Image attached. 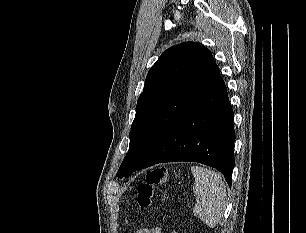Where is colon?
<instances>
[{
    "label": "colon",
    "instance_id": "colon-1",
    "mask_svg": "<svg viewBox=\"0 0 306 233\" xmlns=\"http://www.w3.org/2000/svg\"><path fill=\"white\" fill-rule=\"evenodd\" d=\"M167 180V169L159 167L147 173L145 179L138 187L137 202L143 208L153 205L154 191Z\"/></svg>",
    "mask_w": 306,
    "mask_h": 233
}]
</instances>
